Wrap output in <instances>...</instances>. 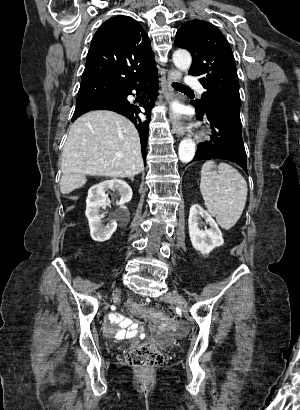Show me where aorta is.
Masks as SVG:
<instances>
[{"instance_id":"aorta-1","label":"aorta","mask_w":300,"mask_h":410,"mask_svg":"<svg viewBox=\"0 0 300 410\" xmlns=\"http://www.w3.org/2000/svg\"><path fill=\"white\" fill-rule=\"evenodd\" d=\"M192 58L188 51L179 49L173 54V63L181 71H188L191 66ZM196 145L191 138H184L179 145L178 155L183 163L190 162L195 155Z\"/></svg>"}]
</instances>
